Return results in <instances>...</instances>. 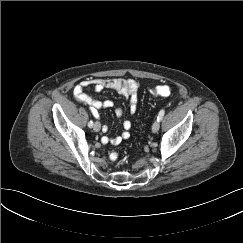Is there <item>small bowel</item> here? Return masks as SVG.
Returning <instances> with one entry per match:
<instances>
[{"mask_svg":"<svg viewBox=\"0 0 243 243\" xmlns=\"http://www.w3.org/2000/svg\"><path fill=\"white\" fill-rule=\"evenodd\" d=\"M88 87H92L96 92H101L104 89H113L117 91L124 98L129 100V112L131 114L135 113L137 109L138 103V91L140 88V84L137 80L134 79H97V78H89L79 82L73 90L74 98L85 105H88L91 108L93 115L96 118H100L99 111L105 108H111L113 106V101L110 99L100 101L92 96L88 95L85 92V89ZM117 116H121L122 110L117 109L115 111ZM124 132L121 135L114 137H103V143H111L113 145H118L122 140L127 139L129 137V129L131 128V122L125 120L123 122ZM103 131H108V125L103 126Z\"/></svg>","mask_w":243,"mask_h":243,"instance_id":"small-bowel-1","label":"small bowel"}]
</instances>
